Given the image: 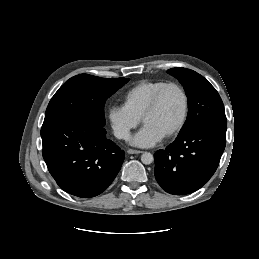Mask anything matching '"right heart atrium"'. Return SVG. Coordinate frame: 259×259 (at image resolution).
Returning <instances> with one entry per match:
<instances>
[{
	"instance_id": "right-heart-atrium-1",
	"label": "right heart atrium",
	"mask_w": 259,
	"mask_h": 259,
	"mask_svg": "<svg viewBox=\"0 0 259 259\" xmlns=\"http://www.w3.org/2000/svg\"><path fill=\"white\" fill-rule=\"evenodd\" d=\"M107 116L114 135L121 140H127L140 122V118L130 113L123 105L111 106Z\"/></svg>"
}]
</instances>
